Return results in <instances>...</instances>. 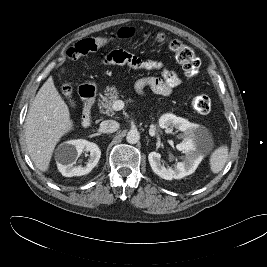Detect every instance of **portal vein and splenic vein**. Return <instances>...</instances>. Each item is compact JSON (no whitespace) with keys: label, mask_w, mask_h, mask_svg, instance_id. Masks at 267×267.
Segmentation results:
<instances>
[{"label":"portal vein and splenic vein","mask_w":267,"mask_h":267,"mask_svg":"<svg viewBox=\"0 0 267 267\" xmlns=\"http://www.w3.org/2000/svg\"><path fill=\"white\" fill-rule=\"evenodd\" d=\"M125 103L122 100H116L113 105L112 108L115 111H120L124 108Z\"/></svg>","instance_id":"portal-vein-and-splenic-vein-1"}]
</instances>
